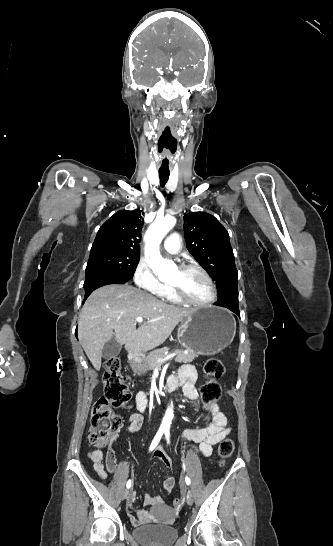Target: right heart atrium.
I'll return each mask as SVG.
<instances>
[{
	"mask_svg": "<svg viewBox=\"0 0 333 546\" xmlns=\"http://www.w3.org/2000/svg\"><path fill=\"white\" fill-rule=\"evenodd\" d=\"M135 284L155 296H163L168 286L160 282L155 276L151 266L144 260H140L134 274Z\"/></svg>",
	"mask_w": 333,
	"mask_h": 546,
	"instance_id": "1",
	"label": "right heart atrium"
}]
</instances>
